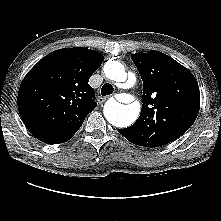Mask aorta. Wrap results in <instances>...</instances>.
I'll list each match as a JSON object with an SVG mask.
<instances>
[{"mask_svg": "<svg viewBox=\"0 0 221 221\" xmlns=\"http://www.w3.org/2000/svg\"><path fill=\"white\" fill-rule=\"evenodd\" d=\"M107 78L116 82H126L127 73L124 66L118 61L109 60L104 65ZM104 116L109 123L116 127L130 126L140 113V105L133 102L128 105L121 104L114 99H109L104 105Z\"/></svg>", "mask_w": 221, "mask_h": 221, "instance_id": "aorta-1", "label": "aorta"}]
</instances>
